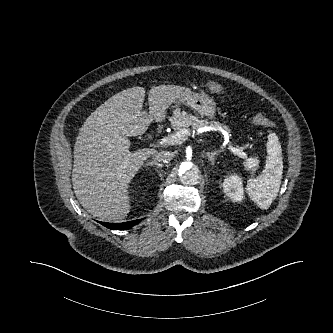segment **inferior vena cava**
Returning a JSON list of instances; mask_svg holds the SVG:
<instances>
[{"instance_id": "obj_1", "label": "inferior vena cava", "mask_w": 333, "mask_h": 333, "mask_svg": "<svg viewBox=\"0 0 333 333\" xmlns=\"http://www.w3.org/2000/svg\"><path fill=\"white\" fill-rule=\"evenodd\" d=\"M153 159L160 163H169L173 159L171 152H157L153 155Z\"/></svg>"}]
</instances>
